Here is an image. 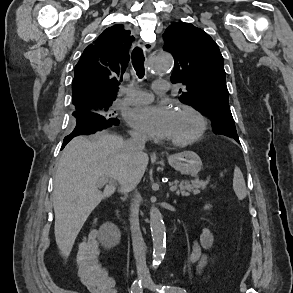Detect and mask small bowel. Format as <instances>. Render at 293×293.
I'll return each instance as SVG.
<instances>
[{
    "instance_id": "1",
    "label": "small bowel",
    "mask_w": 293,
    "mask_h": 293,
    "mask_svg": "<svg viewBox=\"0 0 293 293\" xmlns=\"http://www.w3.org/2000/svg\"><path fill=\"white\" fill-rule=\"evenodd\" d=\"M206 208L209 209L210 206L207 205ZM212 244V233L207 228H203L199 237L193 242L192 252L189 257L190 264L196 266L197 270L200 271L210 264L211 257L208 251ZM109 280L111 282V293H116L114 280L111 277H109Z\"/></svg>"
}]
</instances>
